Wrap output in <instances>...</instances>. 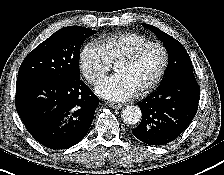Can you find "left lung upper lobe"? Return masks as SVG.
I'll return each instance as SVG.
<instances>
[{"label":"left lung upper lobe","instance_id":"5c2ea615","mask_svg":"<svg viewBox=\"0 0 224 175\" xmlns=\"http://www.w3.org/2000/svg\"><path fill=\"white\" fill-rule=\"evenodd\" d=\"M142 26L154 32L156 36L163 42L168 52L169 63L164 80L181 72H193L191 59L180 42L155 26L144 23H142Z\"/></svg>","mask_w":224,"mask_h":175}]
</instances>
